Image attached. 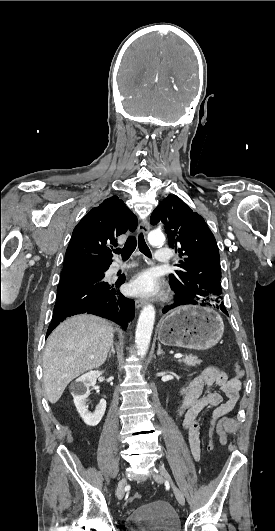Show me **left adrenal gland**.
<instances>
[{"label":"left adrenal gland","mask_w":275,"mask_h":531,"mask_svg":"<svg viewBox=\"0 0 275 531\" xmlns=\"http://www.w3.org/2000/svg\"><path fill=\"white\" fill-rule=\"evenodd\" d=\"M157 355H164V351H162L160 343H158Z\"/></svg>","instance_id":"left-adrenal-gland-1"}]
</instances>
